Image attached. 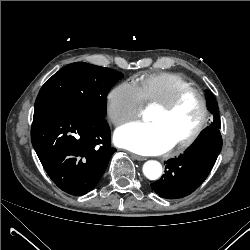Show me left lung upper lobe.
<instances>
[{"mask_svg":"<svg viewBox=\"0 0 250 250\" xmlns=\"http://www.w3.org/2000/svg\"><path fill=\"white\" fill-rule=\"evenodd\" d=\"M206 100H207V107L208 110L213 114L214 116V121L209 127L217 128L219 129L221 127V122L218 114V105L216 103V100L212 93L209 91L206 92Z\"/></svg>","mask_w":250,"mask_h":250,"instance_id":"1","label":"left lung upper lobe"}]
</instances>
